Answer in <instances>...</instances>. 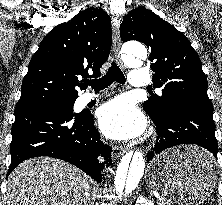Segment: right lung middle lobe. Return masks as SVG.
<instances>
[{"label":"right lung middle lobe","mask_w":222,"mask_h":205,"mask_svg":"<svg viewBox=\"0 0 222 205\" xmlns=\"http://www.w3.org/2000/svg\"><path fill=\"white\" fill-rule=\"evenodd\" d=\"M75 101H71V102H66V101H49V102H45L43 104H47V105H53V106H58L61 107L63 109H66L70 112H73V105H74Z\"/></svg>","instance_id":"1"}]
</instances>
